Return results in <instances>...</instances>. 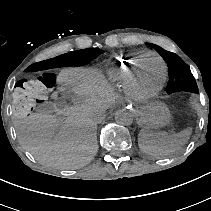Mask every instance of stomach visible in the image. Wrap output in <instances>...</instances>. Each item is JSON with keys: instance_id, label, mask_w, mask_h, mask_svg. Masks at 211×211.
<instances>
[{"instance_id": "1", "label": "stomach", "mask_w": 211, "mask_h": 211, "mask_svg": "<svg viewBox=\"0 0 211 211\" xmlns=\"http://www.w3.org/2000/svg\"><path fill=\"white\" fill-rule=\"evenodd\" d=\"M170 121V111L161 102H155L140 110L139 123L144 129H159Z\"/></svg>"}]
</instances>
